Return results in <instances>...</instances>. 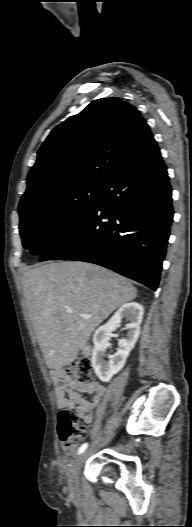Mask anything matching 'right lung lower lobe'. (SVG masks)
Masks as SVG:
<instances>
[{
  "label": "right lung lower lobe",
  "mask_w": 192,
  "mask_h": 527,
  "mask_svg": "<svg viewBox=\"0 0 192 527\" xmlns=\"http://www.w3.org/2000/svg\"><path fill=\"white\" fill-rule=\"evenodd\" d=\"M171 186L152 140L103 187L85 219L40 261L98 264L157 289L173 218Z\"/></svg>",
  "instance_id": "98d812e1"
}]
</instances>
